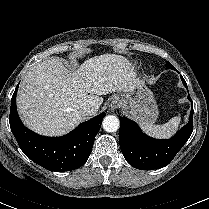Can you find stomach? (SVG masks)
<instances>
[{
  "label": "stomach",
  "mask_w": 209,
  "mask_h": 209,
  "mask_svg": "<svg viewBox=\"0 0 209 209\" xmlns=\"http://www.w3.org/2000/svg\"><path fill=\"white\" fill-rule=\"evenodd\" d=\"M122 106L138 121L152 124L158 118L159 112L154 95L143 82L122 96Z\"/></svg>",
  "instance_id": "stomach-1"
}]
</instances>
